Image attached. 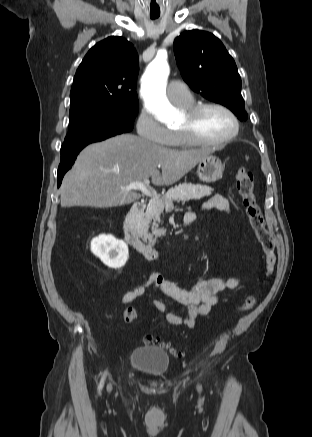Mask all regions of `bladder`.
Listing matches in <instances>:
<instances>
[{
	"label": "bladder",
	"instance_id": "31cf9c89",
	"mask_svg": "<svg viewBox=\"0 0 312 437\" xmlns=\"http://www.w3.org/2000/svg\"><path fill=\"white\" fill-rule=\"evenodd\" d=\"M131 365L151 376H163L169 367V354L162 348L140 346L133 350Z\"/></svg>",
	"mask_w": 312,
	"mask_h": 437
}]
</instances>
